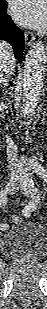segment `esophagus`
Wrapping results in <instances>:
<instances>
[{
	"label": "esophagus",
	"instance_id": "34e87169",
	"mask_svg": "<svg viewBox=\"0 0 47 309\" xmlns=\"http://www.w3.org/2000/svg\"><path fill=\"white\" fill-rule=\"evenodd\" d=\"M35 40V37L32 32L25 33V44L26 46H31Z\"/></svg>",
	"mask_w": 47,
	"mask_h": 309
}]
</instances>
